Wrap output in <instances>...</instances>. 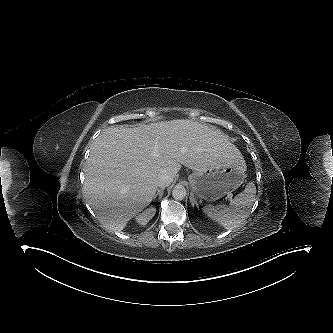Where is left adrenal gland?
Returning <instances> with one entry per match:
<instances>
[{
  "label": "left adrenal gland",
  "mask_w": 333,
  "mask_h": 333,
  "mask_svg": "<svg viewBox=\"0 0 333 333\" xmlns=\"http://www.w3.org/2000/svg\"><path fill=\"white\" fill-rule=\"evenodd\" d=\"M190 202H191L192 207H194V206H196L197 208L199 207L196 199L194 198V195H192V194L190 196Z\"/></svg>",
  "instance_id": "a2214340"
}]
</instances>
